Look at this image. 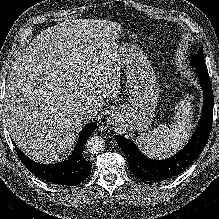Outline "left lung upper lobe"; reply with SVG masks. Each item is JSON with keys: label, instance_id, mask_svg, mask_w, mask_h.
<instances>
[{"label": "left lung upper lobe", "instance_id": "1", "mask_svg": "<svg viewBox=\"0 0 219 219\" xmlns=\"http://www.w3.org/2000/svg\"><path fill=\"white\" fill-rule=\"evenodd\" d=\"M191 64L194 67L207 69L204 61L203 48H200L198 52L191 58Z\"/></svg>", "mask_w": 219, "mask_h": 219}]
</instances>
